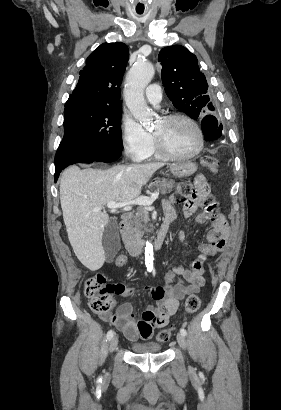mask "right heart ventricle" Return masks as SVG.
Masks as SVG:
<instances>
[{
    "instance_id": "obj_1",
    "label": "right heart ventricle",
    "mask_w": 281,
    "mask_h": 410,
    "mask_svg": "<svg viewBox=\"0 0 281 410\" xmlns=\"http://www.w3.org/2000/svg\"><path fill=\"white\" fill-rule=\"evenodd\" d=\"M149 158H155V159L161 158V156L159 155V153H158V151L155 147L154 141L152 142L147 155L143 159H149Z\"/></svg>"
}]
</instances>
